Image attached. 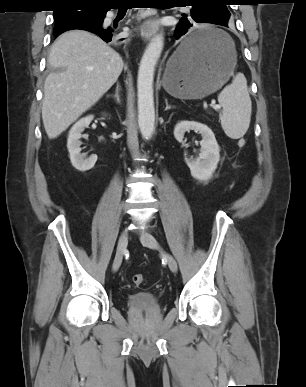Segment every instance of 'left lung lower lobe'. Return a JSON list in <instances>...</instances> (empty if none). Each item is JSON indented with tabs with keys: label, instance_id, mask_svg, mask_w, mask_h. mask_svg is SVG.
I'll return each mask as SVG.
<instances>
[{
	"label": "left lung lower lobe",
	"instance_id": "left-lung-lower-lobe-1",
	"mask_svg": "<svg viewBox=\"0 0 306 387\" xmlns=\"http://www.w3.org/2000/svg\"><path fill=\"white\" fill-rule=\"evenodd\" d=\"M196 23H210L206 22L203 16H184L180 19L179 24L177 25L174 36L176 39L185 35L187 32L191 31L193 26H196ZM213 24V23H212ZM227 26V24H218ZM217 40V34L210 30H200L196 31L190 35H186L185 40L182 43V52L184 55H194L199 51L208 49L212 46Z\"/></svg>",
	"mask_w": 306,
	"mask_h": 387
}]
</instances>
